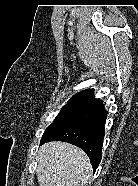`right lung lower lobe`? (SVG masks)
<instances>
[{
	"label": "right lung lower lobe",
	"mask_w": 138,
	"mask_h": 186,
	"mask_svg": "<svg viewBox=\"0 0 138 186\" xmlns=\"http://www.w3.org/2000/svg\"><path fill=\"white\" fill-rule=\"evenodd\" d=\"M107 111L101 100H91L44 135L41 143L64 141L80 147L89 157L95 172L102 158Z\"/></svg>",
	"instance_id": "1"
}]
</instances>
